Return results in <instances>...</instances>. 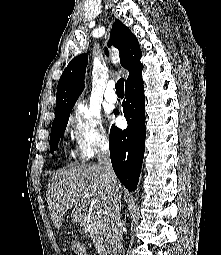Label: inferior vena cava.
<instances>
[{
  "label": "inferior vena cava",
  "mask_w": 221,
  "mask_h": 255,
  "mask_svg": "<svg viewBox=\"0 0 221 255\" xmlns=\"http://www.w3.org/2000/svg\"><path fill=\"white\" fill-rule=\"evenodd\" d=\"M98 166L105 180L115 184L116 176L112 168L109 145L106 138H102L97 150ZM121 195L118 186L111 189V199L104 210V237L108 255H122V231H121Z\"/></svg>",
  "instance_id": "1"
}]
</instances>
